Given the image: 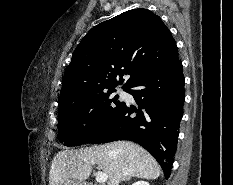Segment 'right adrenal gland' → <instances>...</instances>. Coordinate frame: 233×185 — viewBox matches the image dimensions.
I'll return each mask as SVG.
<instances>
[{
  "label": "right adrenal gland",
  "mask_w": 233,
  "mask_h": 185,
  "mask_svg": "<svg viewBox=\"0 0 233 185\" xmlns=\"http://www.w3.org/2000/svg\"><path fill=\"white\" fill-rule=\"evenodd\" d=\"M130 178H131V177H127V178H124L123 180H124V181H128V180H130Z\"/></svg>",
  "instance_id": "2a0ac1e0"
}]
</instances>
